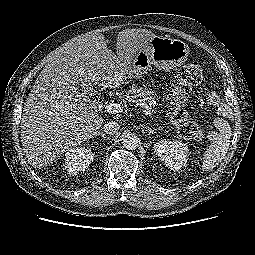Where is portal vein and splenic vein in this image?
<instances>
[{"mask_svg": "<svg viewBox=\"0 0 255 255\" xmlns=\"http://www.w3.org/2000/svg\"><path fill=\"white\" fill-rule=\"evenodd\" d=\"M124 105L121 103H110L106 106V111L109 114H117L123 111ZM142 110L145 115L151 116V108L148 105H142Z\"/></svg>", "mask_w": 255, "mask_h": 255, "instance_id": "obj_1", "label": "portal vein and splenic vein"}]
</instances>
